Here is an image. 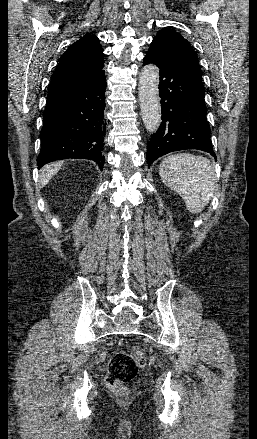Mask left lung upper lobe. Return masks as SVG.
<instances>
[{
	"label": "left lung upper lobe",
	"instance_id": "obj_1",
	"mask_svg": "<svg viewBox=\"0 0 257 439\" xmlns=\"http://www.w3.org/2000/svg\"><path fill=\"white\" fill-rule=\"evenodd\" d=\"M163 49L183 60L202 79V71L198 65V57L191 44L172 29H163L153 38Z\"/></svg>",
	"mask_w": 257,
	"mask_h": 439
}]
</instances>
